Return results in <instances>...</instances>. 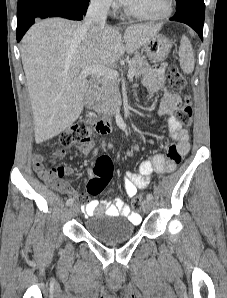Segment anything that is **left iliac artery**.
<instances>
[{"label": "left iliac artery", "instance_id": "left-iliac-artery-1", "mask_svg": "<svg viewBox=\"0 0 227 298\" xmlns=\"http://www.w3.org/2000/svg\"><path fill=\"white\" fill-rule=\"evenodd\" d=\"M146 198L151 200L153 198V196H152V194L149 193V194H147Z\"/></svg>", "mask_w": 227, "mask_h": 298}]
</instances>
